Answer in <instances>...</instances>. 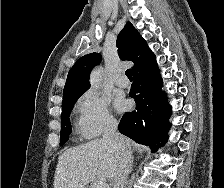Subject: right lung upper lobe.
Returning <instances> with one entry per match:
<instances>
[{
    "label": "right lung upper lobe",
    "mask_w": 224,
    "mask_h": 188,
    "mask_svg": "<svg viewBox=\"0 0 224 188\" xmlns=\"http://www.w3.org/2000/svg\"><path fill=\"white\" fill-rule=\"evenodd\" d=\"M117 47L122 60L134 62L133 74L155 61L154 53L130 22L119 33ZM100 57L99 53H91L77 60L68 73L63 98L89 89L90 72L99 63Z\"/></svg>",
    "instance_id": "right-lung-upper-lobe-1"
}]
</instances>
